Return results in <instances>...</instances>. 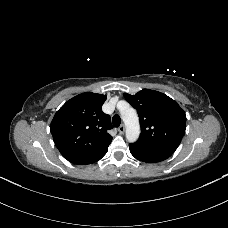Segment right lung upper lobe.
<instances>
[{
  "label": "right lung upper lobe",
  "instance_id": "obj_1",
  "mask_svg": "<svg viewBox=\"0 0 228 228\" xmlns=\"http://www.w3.org/2000/svg\"><path fill=\"white\" fill-rule=\"evenodd\" d=\"M106 95L86 92L67 101L55 114L50 131L65 159L95 152L112 141L111 119L101 110Z\"/></svg>",
  "mask_w": 228,
  "mask_h": 228
}]
</instances>
